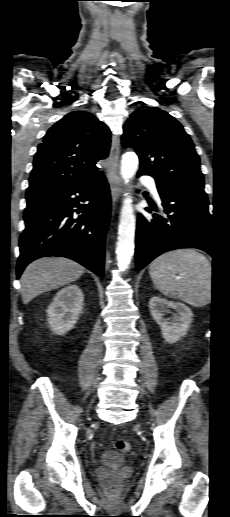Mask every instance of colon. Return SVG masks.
Masks as SVG:
<instances>
[{"label":"colon","mask_w":230,"mask_h":517,"mask_svg":"<svg viewBox=\"0 0 230 517\" xmlns=\"http://www.w3.org/2000/svg\"><path fill=\"white\" fill-rule=\"evenodd\" d=\"M115 448L122 451V452H128L131 449V445L129 442L125 440H117L114 443ZM119 493V486L115 484H110L107 487L106 495L109 498H116Z\"/></svg>","instance_id":"colon-1"}]
</instances>
